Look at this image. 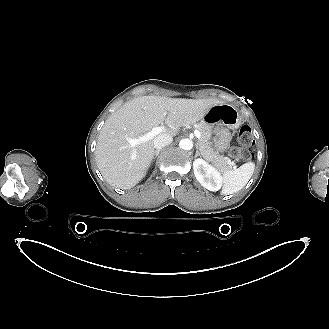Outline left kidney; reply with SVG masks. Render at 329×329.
I'll return each mask as SVG.
<instances>
[{
    "label": "left kidney",
    "instance_id": "5707ae66",
    "mask_svg": "<svg viewBox=\"0 0 329 329\" xmlns=\"http://www.w3.org/2000/svg\"><path fill=\"white\" fill-rule=\"evenodd\" d=\"M193 169L196 179L203 187L210 191H218L221 188V173L206 161L203 159L194 160Z\"/></svg>",
    "mask_w": 329,
    "mask_h": 329
}]
</instances>
